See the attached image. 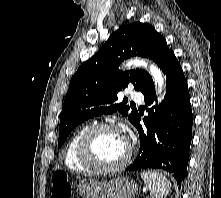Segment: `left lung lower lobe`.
<instances>
[{
    "mask_svg": "<svg viewBox=\"0 0 221 198\" xmlns=\"http://www.w3.org/2000/svg\"><path fill=\"white\" fill-rule=\"evenodd\" d=\"M166 75V96L160 106L147 109L148 117L140 125L138 116L134 125L139 132L140 151L127 171L158 168L170 172L177 183L184 179L192 138L193 115L187 81L174 53L166 59L163 67ZM147 108L156 100L152 82L143 91ZM180 188V187H179Z\"/></svg>",
    "mask_w": 221,
    "mask_h": 198,
    "instance_id": "1",
    "label": "left lung lower lobe"
}]
</instances>
